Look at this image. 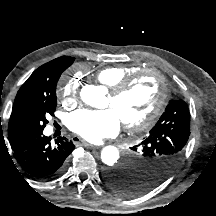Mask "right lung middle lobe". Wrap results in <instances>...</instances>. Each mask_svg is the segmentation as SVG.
Wrapping results in <instances>:
<instances>
[{"instance_id":"obj_1","label":"right lung middle lobe","mask_w":216,"mask_h":216,"mask_svg":"<svg viewBox=\"0 0 216 216\" xmlns=\"http://www.w3.org/2000/svg\"><path fill=\"white\" fill-rule=\"evenodd\" d=\"M72 63H64L61 66L60 75ZM56 84L57 81L49 89L36 94L18 114L14 127L19 134L29 131H43L48 123L46 115H53L56 109Z\"/></svg>"}]
</instances>
